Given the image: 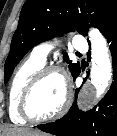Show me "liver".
<instances>
[{
  "mask_svg": "<svg viewBox=\"0 0 117 136\" xmlns=\"http://www.w3.org/2000/svg\"><path fill=\"white\" fill-rule=\"evenodd\" d=\"M5 136H43V134L28 128H10L6 131Z\"/></svg>",
  "mask_w": 117,
  "mask_h": 136,
  "instance_id": "1",
  "label": "liver"
}]
</instances>
